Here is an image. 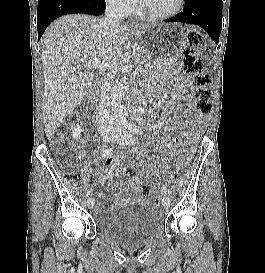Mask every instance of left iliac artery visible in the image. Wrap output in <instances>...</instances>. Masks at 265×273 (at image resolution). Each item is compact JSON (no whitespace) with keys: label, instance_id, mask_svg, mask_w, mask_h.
Listing matches in <instances>:
<instances>
[{"label":"left iliac artery","instance_id":"44dca946","mask_svg":"<svg viewBox=\"0 0 265 273\" xmlns=\"http://www.w3.org/2000/svg\"><path fill=\"white\" fill-rule=\"evenodd\" d=\"M124 125V127H126L130 132L137 134L139 132V130L137 129L136 125H134L131 122L128 121H124L122 123ZM161 191L164 195H167L168 190L167 187L165 185L162 186Z\"/></svg>","mask_w":265,"mask_h":273}]
</instances>
